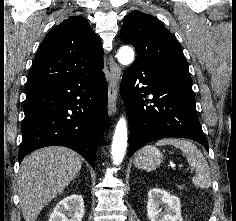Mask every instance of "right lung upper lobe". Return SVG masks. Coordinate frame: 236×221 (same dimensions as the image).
<instances>
[{
    "instance_id": "right-lung-upper-lobe-1",
    "label": "right lung upper lobe",
    "mask_w": 236,
    "mask_h": 221,
    "mask_svg": "<svg viewBox=\"0 0 236 221\" xmlns=\"http://www.w3.org/2000/svg\"><path fill=\"white\" fill-rule=\"evenodd\" d=\"M103 68L99 37L80 16H72L53 27L42 41L28 75L25 90L93 75Z\"/></svg>"
}]
</instances>
